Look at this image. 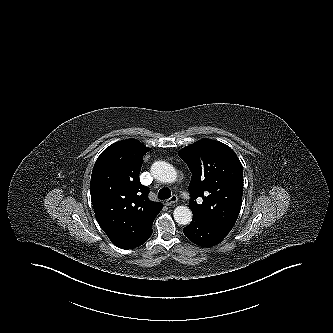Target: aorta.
<instances>
[{
  "label": "aorta",
  "instance_id": "1",
  "mask_svg": "<svg viewBox=\"0 0 333 333\" xmlns=\"http://www.w3.org/2000/svg\"><path fill=\"white\" fill-rule=\"evenodd\" d=\"M151 173L155 179L163 183H172L177 177L175 168L165 161L154 162L151 166ZM173 216L180 225H188L192 220V212L187 206H177Z\"/></svg>",
  "mask_w": 333,
  "mask_h": 333
}]
</instances>
